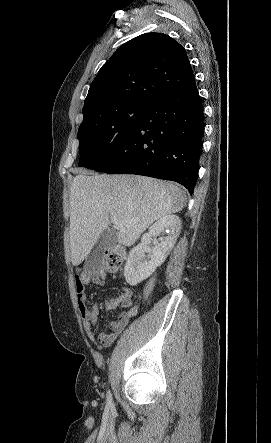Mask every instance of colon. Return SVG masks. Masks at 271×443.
Instances as JSON below:
<instances>
[{"label": "colon", "instance_id": "5ec220e1", "mask_svg": "<svg viewBox=\"0 0 271 443\" xmlns=\"http://www.w3.org/2000/svg\"><path fill=\"white\" fill-rule=\"evenodd\" d=\"M127 255V250L122 245H115L105 249L104 258L107 270L118 271Z\"/></svg>", "mask_w": 271, "mask_h": 443}]
</instances>
